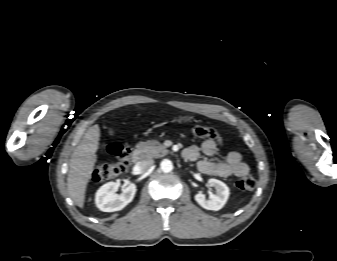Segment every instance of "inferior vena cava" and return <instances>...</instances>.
Here are the masks:
<instances>
[{
  "instance_id": "obj_1",
  "label": "inferior vena cava",
  "mask_w": 337,
  "mask_h": 261,
  "mask_svg": "<svg viewBox=\"0 0 337 261\" xmlns=\"http://www.w3.org/2000/svg\"><path fill=\"white\" fill-rule=\"evenodd\" d=\"M154 164V160L152 159H143L136 163L135 167L139 173H143L150 169Z\"/></svg>"
}]
</instances>
